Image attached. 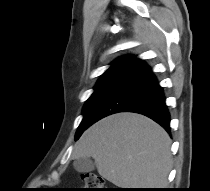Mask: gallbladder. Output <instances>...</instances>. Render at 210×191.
<instances>
[{
  "label": "gallbladder",
  "mask_w": 210,
  "mask_h": 191,
  "mask_svg": "<svg viewBox=\"0 0 210 191\" xmlns=\"http://www.w3.org/2000/svg\"><path fill=\"white\" fill-rule=\"evenodd\" d=\"M73 167L77 172H92L95 169V163L89 158H78L73 162Z\"/></svg>",
  "instance_id": "obj_1"
}]
</instances>
